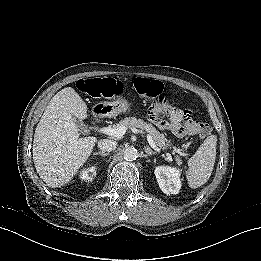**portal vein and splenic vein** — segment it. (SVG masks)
<instances>
[{
  "label": "portal vein and splenic vein",
  "mask_w": 261,
  "mask_h": 261,
  "mask_svg": "<svg viewBox=\"0 0 261 261\" xmlns=\"http://www.w3.org/2000/svg\"><path fill=\"white\" fill-rule=\"evenodd\" d=\"M126 130H127V128L125 126H117V127L108 126V127L100 128V132H102L106 135H109V136L117 137V138L122 137L126 133ZM132 131L135 133H139V132L143 133L142 130H138L136 128H133ZM147 140H148L150 146L154 150L159 151V149L155 145V142L153 141L152 137L149 134L147 135Z\"/></svg>",
  "instance_id": "18ae733b"
}]
</instances>
